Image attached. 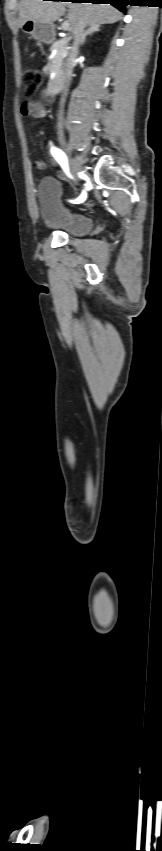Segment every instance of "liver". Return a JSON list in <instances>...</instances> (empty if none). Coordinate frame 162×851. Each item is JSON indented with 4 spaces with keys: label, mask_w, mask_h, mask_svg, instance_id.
Instances as JSON below:
<instances>
[{
    "label": "liver",
    "mask_w": 162,
    "mask_h": 851,
    "mask_svg": "<svg viewBox=\"0 0 162 851\" xmlns=\"http://www.w3.org/2000/svg\"><path fill=\"white\" fill-rule=\"evenodd\" d=\"M68 11L71 31L80 21L86 26L112 24L122 19V13L109 4L61 2L43 0H21L19 4V26L27 20L52 24Z\"/></svg>",
    "instance_id": "liver-1"
}]
</instances>
